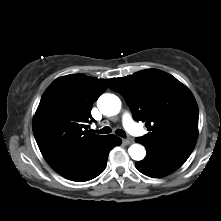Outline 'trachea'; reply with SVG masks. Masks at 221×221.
I'll use <instances>...</instances> for the list:
<instances>
[{
  "label": "trachea",
  "instance_id": "obj_1",
  "mask_svg": "<svg viewBox=\"0 0 221 221\" xmlns=\"http://www.w3.org/2000/svg\"><path fill=\"white\" fill-rule=\"evenodd\" d=\"M96 133H99V134H108L111 132V129L110 127L108 126H105L104 128L100 129V130H97L95 131ZM116 134L122 138H125L126 137V134H125V131H123L122 129H118L116 130Z\"/></svg>",
  "mask_w": 221,
  "mask_h": 221
}]
</instances>
